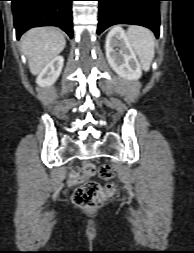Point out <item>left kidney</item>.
<instances>
[{
  "mask_svg": "<svg viewBox=\"0 0 194 253\" xmlns=\"http://www.w3.org/2000/svg\"><path fill=\"white\" fill-rule=\"evenodd\" d=\"M105 51L110 67L125 80H137L141 77V66L120 27L111 29L106 38Z\"/></svg>",
  "mask_w": 194,
  "mask_h": 253,
  "instance_id": "obj_1",
  "label": "left kidney"
}]
</instances>
